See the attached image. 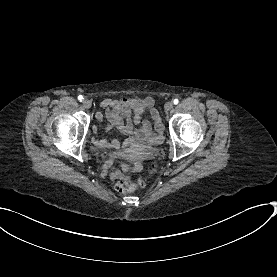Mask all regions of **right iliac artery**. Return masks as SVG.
<instances>
[{
  "instance_id": "82829eb1",
  "label": "right iliac artery",
  "mask_w": 277,
  "mask_h": 277,
  "mask_svg": "<svg viewBox=\"0 0 277 277\" xmlns=\"http://www.w3.org/2000/svg\"><path fill=\"white\" fill-rule=\"evenodd\" d=\"M78 100L82 101L83 100V96L82 95L78 96Z\"/></svg>"
}]
</instances>
